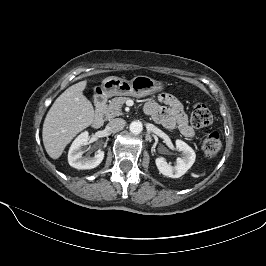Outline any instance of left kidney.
<instances>
[{"mask_svg": "<svg viewBox=\"0 0 266 266\" xmlns=\"http://www.w3.org/2000/svg\"><path fill=\"white\" fill-rule=\"evenodd\" d=\"M176 148L182 153V157L176 159L174 166L167 163L163 157L155 160L156 166L161 174L171 178H179L184 175L194 164L196 154L194 150L182 140H176Z\"/></svg>", "mask_w": 266, "mask_h": 266, "instance_id": "left-kidney-1", "label": "left kidney"}]
</instances>
